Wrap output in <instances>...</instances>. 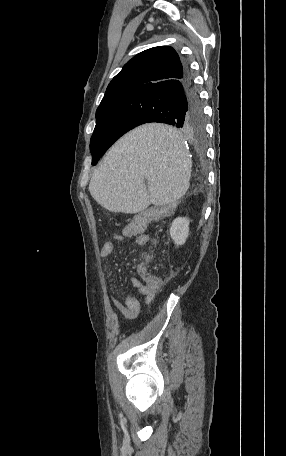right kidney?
Here are the masks:
<instances>
[{"label": "right kidney", "mask_w": 286, "mask_h": 456, "mask_svg": "<svg viewBox=\"0 0 286 456\" xmlns=\"http://www.w3.org/2000/svg\"><path fill=\"white\" fill-rule=\"evenodd\" d=\"M189 235V220L185 217L176 218L170 227V236L176 245H183Z\"/></svg>", "instance_id": "1"}]
</instances>
